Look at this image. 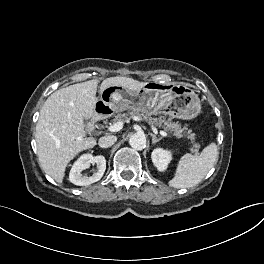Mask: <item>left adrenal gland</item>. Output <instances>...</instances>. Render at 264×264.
Instances as JSON below:
<instances>
[{
	"label": "left adrenal gland",
	"mask_w": 264,
	"mask_h": 264,
	"mask_svg": "<svg viewBox=\"0 0 264 264\" xmlns=\"http://www.w3.org/2000/svg\"><path fill=\"white\" fill-rule=\"evenodd\" d=\"M150 136L152 137V144H155L159 142L162 138H157L156 135L150 133Z\"/></svg>",
	"instance_id": "obj_1"
}]
</instances>
